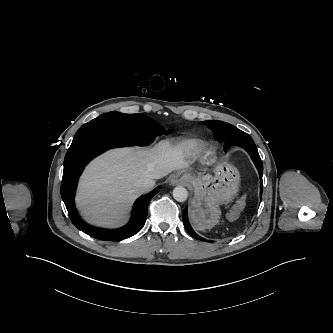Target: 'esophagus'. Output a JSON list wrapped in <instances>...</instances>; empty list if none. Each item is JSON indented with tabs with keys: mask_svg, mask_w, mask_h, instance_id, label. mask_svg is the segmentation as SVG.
<instances>
[{
	"mask_svg": "<svg viewBox=\"0 0 333 333\" xmlns=\"http://www.w3.org/2000/svg\"><path fill=\"white\" fill-rule=\"evenodd\" d=\"M185 181H186V178L178 173L173 174L170 177V184L173 186L178 185V184H183V183H185Z\"/></svg>",
	"mask_w": 333,
	"mask_h": 333,
	"instance_id": "1",
	"label": "esophagus"
}]
</instances>
